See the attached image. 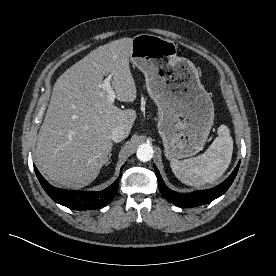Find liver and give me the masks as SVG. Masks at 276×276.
Wrapping results in <instances>:
<instances>
[{
    "instance_id": "liver-1",
    "label": "liver",
    "mask_w": 276,
    "mask_h": 276,
    "mask_svg": "<svg viewBox=\"0 0 276 276\" xmlns=\"http://www.w3.org/2000/svg\"><path fill=\"white\" fill-rule=\"evenodd\" d=\"M131 47L128 37L99 46L55 82L35 151L36 165L53 183L74 189L87 186L106 163L113 129L121 126L130 133L136 112L110 103L102 83L105 75H112L116 98L136 99Z\"/></svg>"
}]
</instances>
